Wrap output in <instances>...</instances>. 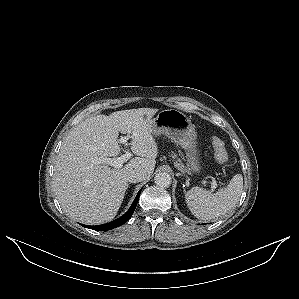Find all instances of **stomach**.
I'll list each match as a JSON object with an SVG mask.
<instances>
[{
	"label": "stomach",
	"mask_w": 299,
	"mask_h": 299,
	"mask_svg": "<svg viewBox=\"0 0 299 299\" xmlns=\"http://www.w3.org/2000/svg\"><path fill=\"white\" fill-rule=\"evenodd\" d=\"M152 134L170 138L186 151L188 169L199 173L201 163L197 149V132L191 120L177 109L161 110L152 119Z\"/></svg>",
	"instance_id": "obj_1"
}]
</instances>
